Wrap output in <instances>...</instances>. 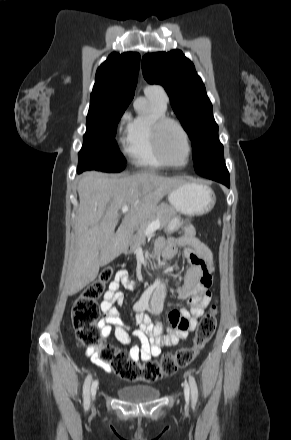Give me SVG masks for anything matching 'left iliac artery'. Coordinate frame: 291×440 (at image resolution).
I'll list each match as a JSON object with an SVG mask.
<instances>
[{
    "label": "left iliac artery",
    "instance_id": "1",
    "mask_svg": "<svg viewBox=\"0 0 291 440\" xmlns=\"http://www.w3.org/2000/svg\"><path fill=\"white\" fill-rule=\"evenodd\" d=\"M189 384L191 388L192 403L196 404L198 399V387L194 376L189 372Z\"/></svg>",
    "mask_w": 291,
    "mask_h": 440
}]
</instances>
